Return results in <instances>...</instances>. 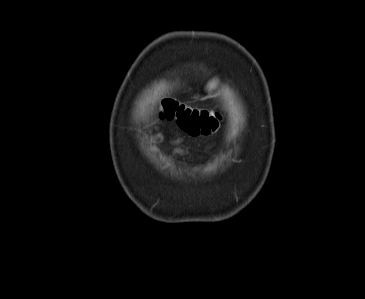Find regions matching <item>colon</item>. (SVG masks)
I'll use <instances>...</instances> for the list:
<instances>
[{
  "label": "colon",
  "mask_w": 365,
  "mask_h": 299,
  "mask_svg": "<svg viewBox=\"0 0 365 299\" xmlns=\"http://www.w3.org/2000/svg\"><path fill=\"white\" fill-rule=\"evenodd\" d=\"M160 115L162 120L174 121L191 136L209 135L215 132L219 125V115L216 111L193 108L174 99L163 101Z\"/></svg>",
  "instance_id": "5ec220e1"
}]
</instances>
